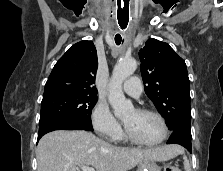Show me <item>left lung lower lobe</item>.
<instances>
[{"mask_svg": "<svg viewBox=\"0 0 223 171\" xmlns=\"http://www.w3.org/2000/svg\"><path fill=\"white\" fill-rule=\"evenodd\" d=\"M191 139V133L181 129H176L173 130V133L167 141V144H179L185 147L189 152H192Z\"/></svg>", "mask_w": 223, "mask_h": 171, "instance_id": "1", "label": "left lung lower lobe"}]
</instances>
